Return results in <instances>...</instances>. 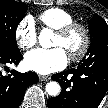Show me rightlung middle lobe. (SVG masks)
Returning a JSON list of instances; mask_svg holds the SVG:
<instances>
[{"instance_id": "right-lung-middle-lobe-1", "label": "right lung middle lobe", "mask_w": 108, "mask_h": 108, "mask_svg": "<svg viewBox=\"0 0 108 108\" xmlns=\"http://www.w3.org/2000/svg\"><path fill=\"white\" fill-rule=\"evenodd\" d=\"M27 6L14 0L0 1V50L18 51L16 28L25 17Z\"/></svg>"}]
</instances>
